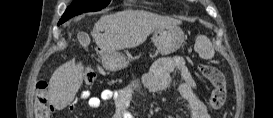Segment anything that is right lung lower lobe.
<instances>
[{
	"mask_svg": "<svg viewBox=\"0 0 273 118\" xmlns=\"http://www.w3.org/2000/svg\"><path fill=\"white\" fill-rule=\"evenodd\" d=\"M65 21L63 20V19H61L60 21H59V23H58V25L59 24H62V23H64Z\"/></svg>",
	"mask_w": 273,
	"mask_h": 118,
	"instance_id": "98d812e1",
	"label": "right lung lower lobe"
}]
</instances>
